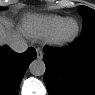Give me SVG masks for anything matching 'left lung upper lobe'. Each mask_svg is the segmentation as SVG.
Returning <instances> with one entry per match:
<instances>
[{
    "mask_svg": "<svg viewBox=\"0 0 95 95\" xmlns=\"http://www.w3.org/2000/svg\"><path fill=\"white\" fill-rule=\"evenodd\" d=\"M79 9L83 20V29L81 34L95 31V11L87 6H80Z\"/></svg>",
    "mask_w": 95,
    "mask_h": 95,
    "instance_id": "left-lung-upper-lobe-1",
    "label": "left lung upper lobe"
}]
</instances>
